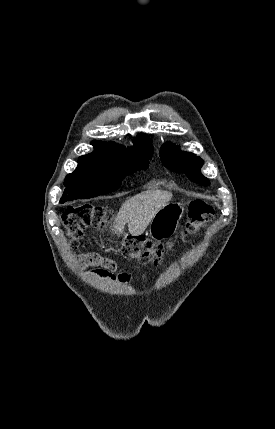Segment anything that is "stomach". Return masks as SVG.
<instances>
[{
  "label": "stomach",
  "mask_w": 275,
  "mask_h": 429,
  "mask_svg": "<svg viewBox=\"0 0 275 429\" xmlns=\"http://www.w3.org/2000/svg\"><path fill=\"white\" fill-rule=\"evenodd\" d=\"M184 213V205L178 202L168 203L153 217L149 226V235L155 240H162L173 235Z\"/></svg>",
  "instance_id": "stomach-1"
}]
</instances>
